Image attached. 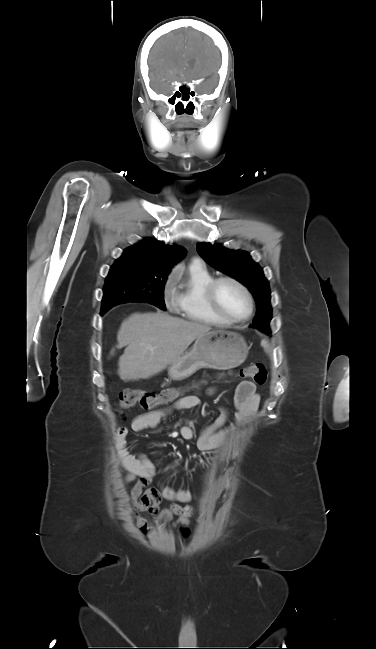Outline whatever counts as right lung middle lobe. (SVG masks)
Segmentation results:
<instances>
[{
	"instance_id": "dd1d6c3e",
	"label": "right lung middle lobe",
	"mask_w": 376,
	"mask_h": 649,
	"mask_svg": "<svg viewBox=\"0 0 376 649\" xmlns=\"http://www.w3.org/2000/svg\"><path fill=\"white\" fill-rule=\"evenodd\" d=\"M168 274L149 272L133 260H116L106 278L101 314L116 304L130 301L148 302L165 310L163 291Z\"/></svg>"
}]
</instances>
